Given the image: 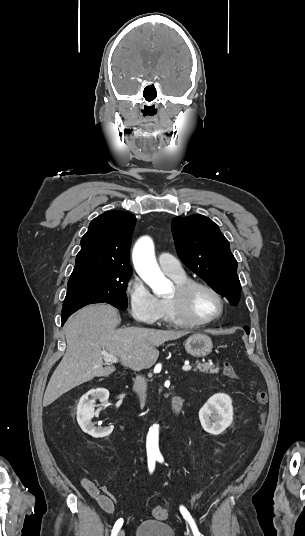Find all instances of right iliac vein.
<instances>
[{
    "label": "right iliac vein",
    "instance_id": "1",
    "mask_svg": "<svg viewBox=\"0 0 305 536\" xmlns=\"http://www.w3.org/2000/svg\"><path fill=\"white\" fill-rule=\"evenodd\" d=\"M118 536H125V533L123 530L119 531Z\"/></svg>",
    "mask_w": 305,
    "mask_h": 536
}]
</instances>
